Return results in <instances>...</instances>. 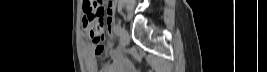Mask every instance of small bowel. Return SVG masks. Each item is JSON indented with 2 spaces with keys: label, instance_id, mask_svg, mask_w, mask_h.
Masks as SVG:
<instances>
[{
  "label": "small bowel",
  "instance_id": "1",
  "mask_svg": "<svg viewBox=\"0 0 267 72\" xmlns=\"http://www.w3.org/2000/svg\"><path fill=\"white\" fill-rule=\"evenodd\" d=\"M113 11V7L112 5H109L107 12H108V18H107V22H110V16L112 14ZM96 52H95V48L94 46H92L91 44H86L84 46V60H85V64L86 67L88 69L89 72H114V68L112 66H108V65H104L100 68L99 70V66L97 63V59H96ZM112 57L113 58H119V53L117 51H112L111 52Z\"/></svg>",
  "mask_w": 267,
  "mask_h": 72
}]
</instances>
